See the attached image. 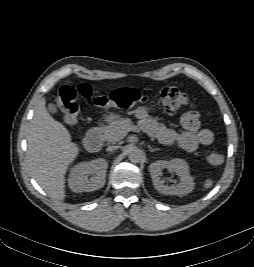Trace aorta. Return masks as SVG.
Returning <instances> with one entry per match:
<instances>
[{
  "label": "aorta",
  "instance_id": "obj_1",
  "mask_svg": "<svg viewBox=\"0 0 254 267\" xmlns=\"http://www.w3.org/2000/svg\"><path fill=\"white\" fill-rule=\"evenodd\" d=\"M128 158H129L130 162H132V163H140L144 158V154L137 147L130 146L128 148Z\"/></svg>",
  "mask_w": 254,
  "mask_h": 267
}]
</instances>
